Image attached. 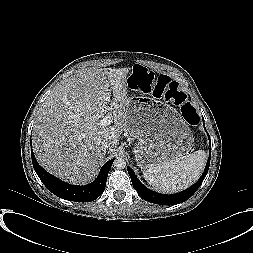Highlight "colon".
Returning <instances> with one entry per match:
<instances>
[{
	"label": "colon",
	"mask_w": 253,
	"mask_h": 253,
	"mask_svg": "<svg viewBox=\"0 0 253 253\" xmlns=\"http://www.w3.org/2000/svg\"><path fill=\"white\" fill-rule=\"evenodd\" d=\"M152 76L146 68L137 65L134 70L132 77L134 80H144ZM156 94L160 96H165L167 99L171 100L174 104L178 105L181 109V113L185 120L196 125L198 122V115L195 109L187 100L185 93L180 90L176 84L170 81L167 77L162 75H156Z\"/></svg>",
	"instance_id": "obj_1"
}]
</instances>
